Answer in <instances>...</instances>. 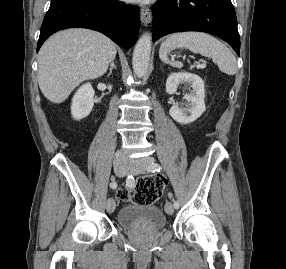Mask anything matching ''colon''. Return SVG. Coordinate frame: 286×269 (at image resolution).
<instances>
[{"label":"colon","mask_w":286,"mask_h":269,"mask_svg":"<svg viewBox=\"0 0 286 269\" xmlns=\"http://www.w3.org/2000/svg\"><path fill=\"white\" fill-rule=\"evenodd\" d=\"M164 184V179L159 176L140 177L135 188H121L117 192V197L122 201L148 205L159 197Z\"/></svg>","instance_id":"colon-1"}]
</instances>
